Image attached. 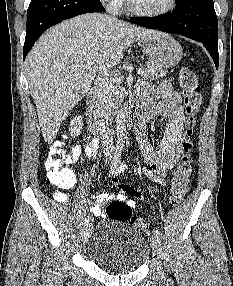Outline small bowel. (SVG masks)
I'll list each match as a JSON object with an SVG mask.
<instances>
[{
	"label": "small bowel",
	"instance_id": "c3829d8e",
	"mask_svg": "<svg viewBox=\"0 0 233 286\" xmlns=\"http://www.w3.org/2000/svg\"><path fill=\"white\" fill-rule=\"evenodd\" d=\"M137 100L142 104L143 121L156 117H165L168 120L166 132L157 147H153L148 143L143 128L138 130V138L146 160L143 170L144 174L153 182L164 185L166 176L184 154L182 143L186 139L184 128L185 118L180 95L167 81H163L157 86L143 83L138 87ZM98 149L99 140L94 138L83 147L76 146L67 162L73 163L77 161L82 154L86 158H96ZM111 182L119 190V193L116 196L108 194L97 195L92 203L93 212L96 215H100L102 202L109 198H115L123 202L126 201L133 208L135 201L128 199V197H142L140 191L131 184L120 182L117 176H114ZM55 198L63 204L67 201V195L63 191H57Z\"/></svg>",
	"mask_w": 233,
	"mask_h": 286
}]
</instances>
